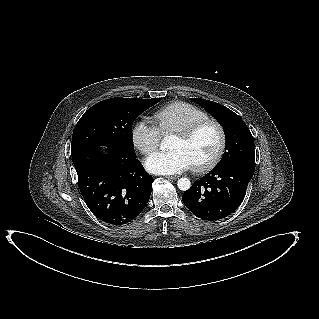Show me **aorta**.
<instances>
[{"label":"aorta","mask_w":319,"mask_h":319,"mask_svg":"<svg viewBox=\"0 0 319 319\" xmlns=\"http://www.w3.org/2000/svg\"><path fill=\"white\" fill-rule=\"evenodd\" d=\"M169 148V145H168V142L166 140H164L161 145H160V149L161 150H166ZM178 188L182 191H186V190H189L190 187H191V182L188 178H180L178 180Z\"/></svg>","instance_id":"1"}]
</instances>
